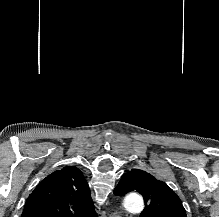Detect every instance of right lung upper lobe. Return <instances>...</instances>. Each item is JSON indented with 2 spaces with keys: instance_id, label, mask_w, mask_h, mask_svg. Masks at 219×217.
<instances>
[{
  "instance_id": "1",
  "label": "right lung upper lobe",
  "mask_w": 219,
  "mask_h": 217,
  "mask_svg": "<svg viewBox=\"0 0 219 217\" xmlns=\"http://www.w3.org/2000/svg\"><path fill=\"white\" fill-rule=\"evenodd\" d=\"M21 217H97L88 183L75 166L42 180L29 195Z\"/></svg>"
}]
</instances>
